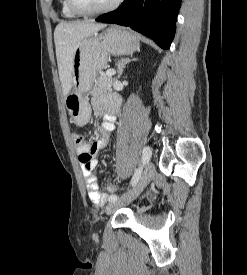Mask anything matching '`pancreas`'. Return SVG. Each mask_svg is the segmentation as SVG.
Here are the masks:
<instances>
[{
  "label": "pancreas",
  "mask_w": 247,
  "mask_h": 275,
  "mask_svg": "<svg viewBox=\"0 0 247 275\" xmlns=\"http://www.w3.org/2000/svg\"><path fill=\"white\" fill-rule=\"evenodd\" d=\"M113 80L114 79L112 77H107L103 74H100L95 80V84L91 93L93 95H97L103 92L111 91Z\"/></svg>",
  "instance_id": "1"
}]
</instances>
